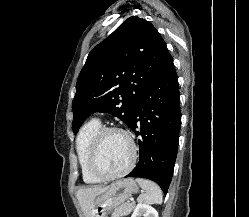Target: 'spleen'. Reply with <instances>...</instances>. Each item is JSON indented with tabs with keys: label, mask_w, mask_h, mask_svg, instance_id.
I'll return each instance as SVG.
<instances>
[{
	"label": "spleen",
	"mask_w": 249,
	"mask_h": 217,
	"mask_svg": "<svg viewBox=\"0 0 249 217\" xmlns=\"http://www.w3.org/2000/svg\"><path fill=\"white\" fill-rule=\"evenodd\" d=\"M136 182L144 190V192L138 197V202H143L147 204L162 203V191L155 182L142 178H136Z\"/></svg>",
	"instance_id": "1"
}]
</instances>
